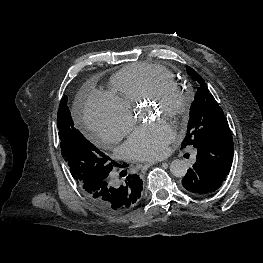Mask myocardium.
Masks as SVG:
<instances>
[{
    "label": "myocardium",
    "mask_w": 263,
    "mask_h": 263,
    "mask_svg": "<svg viewBox=\"0 0 263 263\" xmlns=\"http://www.w3.org/2000/svg\"><path fill=\"white\" fill-rule=\"evenodd\" d=\"M145 100L160 107L161 114L176 120L184 116L190 109L192 94L175 81H163Z\"/></svg>",
    "instance_id": "f54148a6"
}]
</instances>
